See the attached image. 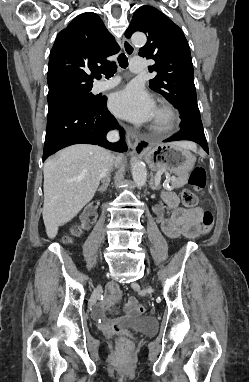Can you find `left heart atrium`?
<instances>
[{
	"label": "left heart atrium",
	"instance_id": "1",
	"mask_svg": "<svg viewBox=\"0 0 249 382\" xmlns=\"http://www.w3.org/2000/svg\"><path fill=\"white\" fill-rule=\"evenodd\" d=\"M109 107L117 116L136 123L151 120L156 110L149 93L135 84L114 93L109 100Z\"/></svg>",
	"mask_w": 249,
	"mask_h": 382
}]
</instances>
